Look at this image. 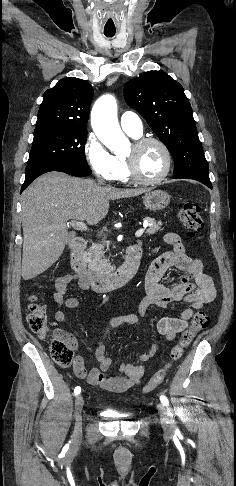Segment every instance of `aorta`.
Here are the masks:
<instances>
[{
	"instance_id": "1",
	"label": "aorta",
	"mask_w": 236,
	"mask_h": 486,
	"mask_svg": "<svg viewBox=\"0 0 236 486\" xmlns=\"http://www.w3.org/2000/svg\"><path fill=\"white\" fill-rule=\"evenodd\" d=\"M91 124L99 140L111 152H120L128 145L117 119V103L112 95H104L97 100L91 112Z\"/></svg>"
}]
</instances>
